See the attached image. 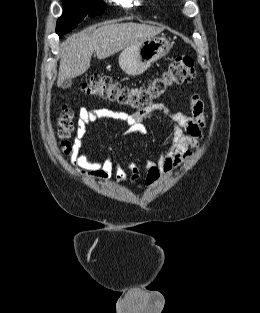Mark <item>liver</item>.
Wrapping results in <instances>:
<instances>
[{"label":"liver","mask_w":260,"mask_h":313,"mask_svg":"<svg viewBox=\"0 0 260 313\" xmlns=\"http://www.w3.org/2000/svg\"><path fill=\"white\" fill-rule=\"evenodd\" d=\"M162 31L161 27L133 22L105 24L97 29L89 27L66 40L61 53L57 85L61 86L65 79L84 74L90 68L94 51L98 59H105L133 43L155 37Z\"/></svg>","instance_id":"obj_1"}]
</instances>
